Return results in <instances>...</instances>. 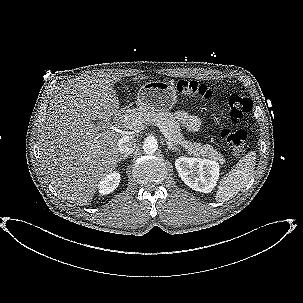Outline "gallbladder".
Returning <instances> with one entry per match:
<instances>
[{
    "label": "gallbladder",
    "mask_w": 303,
    "mask_h": 303,
    "mask_svg": "<svg viewBox=\"0 0 303 303\" xmlns=\"http://www.w3.org/2000/svg\"><path fill=\"white\" fill-rule=\"evenodd\" d=\"M99 122H103V121H101V120H97V123H99Z\"/></svg>",
    "instance_id": "1"
}]
</instances>
